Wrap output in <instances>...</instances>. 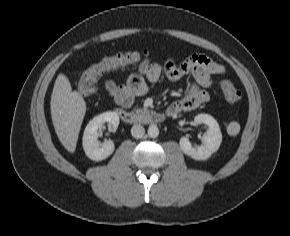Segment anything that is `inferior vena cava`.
<instances>
[{"instance_id":"602c4592","label":"inferior vena cava","mask_w":290,"mask_h":236,"mask_svg":"<svg viewBox=\"0 0 290 236\" xmlns=\"http://www.w3.org/2000/svg\"><path fill=\"white\" fill-rule=\"evenodd\" d=\"M131 134L134 138H141L145 134V129L140 124L133 125V127L131 128Z\"/></svg>"}]
</instances>
